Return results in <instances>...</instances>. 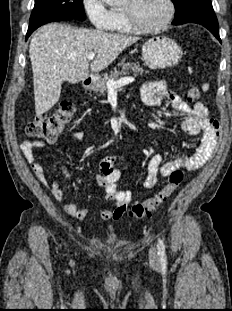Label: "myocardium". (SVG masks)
<instances>
[{"label": "myocardium", "mask_w": 232, "mask_h": 311, "mask_svg": "<svg viewBox=\"0 0 232 311\" xmlns=\"http://www.w3.org/2000/svg\"><path fill=\"white\" fill-rule=\"evenodd\" d=\"M167 5V13L164 19L155 26L146 27L142 26L135 20L133 13L130 9L123 8V13L126 18V21L131 28L132 31L142 33V34H152L157 33L164 30L168 24L172 21L174 14H175V5L172 0H165Z\"/></svg>", "instance_id": "myocardium-1"}]
</instances>
